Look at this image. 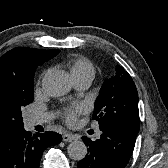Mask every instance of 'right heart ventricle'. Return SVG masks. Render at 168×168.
Wrapping results in <instances>:
<instances>
[{"label": "right heart ventricle", "mask_w": 168, "mask_h": 168, "mask_svg": "<svg viewBox=\"0 0 168 168\" xmlns=\"http://www.w3.org/2000/svg\"><path fill=\"white\" fill-rule=\"evenodd\" d=\"M66 66L73 80L81 77L95 76V67L93 63L85 57H71L67 59Z\"/></svg>", "instance_id": "1"}]
</instances>
